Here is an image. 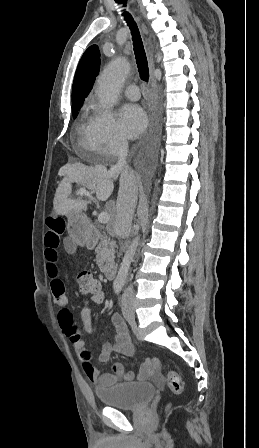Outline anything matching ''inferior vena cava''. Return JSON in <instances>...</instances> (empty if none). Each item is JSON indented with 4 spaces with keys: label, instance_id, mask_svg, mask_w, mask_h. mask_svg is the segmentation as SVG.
Wrapping results in <instances>:
<instances>
[{
    "label": "inferior vena cava",
    "instance_id": "inferior-vena-cava-1",
    "mask_svg": "<svg viewBox=\"0 0 259 448\" xmlns=\"http://www.w3.org/2000/svg\"><path fill=\"white\" fill-rule=\"evenodd\" d=\"M116 154L118 156V162L111 168V172L113 174H119L121 172V186L116 204L117 210L114 230L119 238H127L130 234L138 194L137 180L126 162V156H128L127 140H118ZM133 300V286H128L122 296V304L123 306H130Z\"/></svg>",
    "mask_w": 259,
    "mask_h": 448
}]
</instances>
